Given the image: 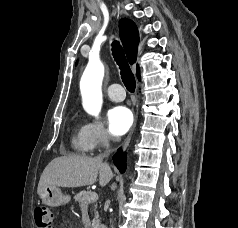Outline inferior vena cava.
<instances>
[{"label": "inferior vena cava", "mask_w": 238, "mask_h": 228, "mask_svg": "<svg viewBox=\"0 0 238 228\" xmlns=\"http://www.w3.org/2000/svg\"><path fill=\"white\" fill-rule=\"evenodd\" d=\"M109 140H110V137H108V141H107V143H106V153L104 154V155H99V158H101V159H103L104 157H106V156H108V154H109Z\"/></svg>", "instance_id": "inferior-vena-cava-1"}]
</instances>
